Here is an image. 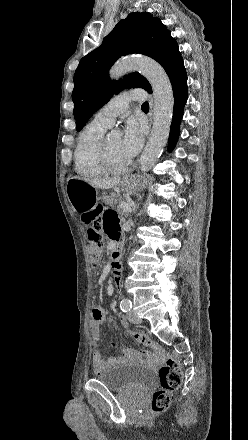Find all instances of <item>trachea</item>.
<instances>
[{
  "mask_svg": "<svg viewBox=\"0 0 248 440\" xmlns=\"http://www.w3.org/2000/svg\"><path fill=\"white\" fill-rule=\"evenodd\" d=\"M142 109H149V103L148 102H144L143 104H142Z\"/></svg>",
  "mask_w": 248,
  "mask_h": 440,
  "instance_id": "1",
  "label": "trachea"
}]
</instances>
